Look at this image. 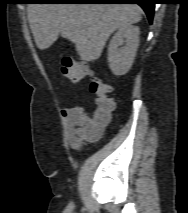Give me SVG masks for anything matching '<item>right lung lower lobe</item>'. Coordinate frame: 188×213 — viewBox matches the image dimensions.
<instances>
[{
  "instance_id": "obj_1",
  "label": "right lung lower lobe",
  "mask_w": 188,
  "mask_h": 213,
  "mask_svg": "<svg viewBox=\"0 0 188 213\" xmlns=\"http://www.w3.org/2000/svg\"><path fill=\"white\" fill-rule=\"evenodd\" d=\"M76 3H132L140 5L145 11L149 22H152L154 6L157 0H70Z\"/></svg>"
}]
</instances>
